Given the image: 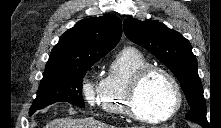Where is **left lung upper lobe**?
I'll return each instance as SVG.
<instances>
[{"label":"left lung upper lobe","instance_id":"obj_1","mask_svg":"<svg viewBox=\"0 0 221 128\" xmlns=\"http://www.w3.org/2000/svg\"><path fill=\"white\" fill-rule=\"evenodd\" d=\"M123 27L128 39L151 52L179 80L191 107L186 119L208 124L203 88L190 42L157 20L139 21L129 17L124 20Z\"/></svg>","mask_w":221,"mask_h":128}]
</instances>
